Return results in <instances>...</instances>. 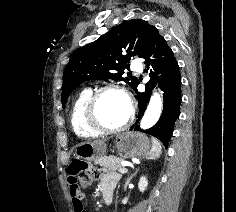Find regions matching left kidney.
<instances>
[{
	"mask_svg": "<svg viewBox=\"0 0 236 212\" xmlns=\"http://www.w3.org/2000/svg\"><path fill=\"white\" fill-rule=\"evenodd\" d=\"M148 186V181L145 176H142L139 180L138 187L140 192H144Z\"/></svg>",
	"mask_w": 236,
	"mask_h": 212,
	"instance_id": "obj_1",
	"label": "left kidney"
}]
</instances>
